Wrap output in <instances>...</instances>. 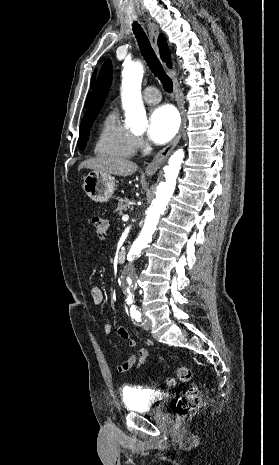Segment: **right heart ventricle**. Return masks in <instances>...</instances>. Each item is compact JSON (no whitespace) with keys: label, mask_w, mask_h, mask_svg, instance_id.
Here are the masks:
<instances>
[{"label":"right heart ventricle","mask_w":279,"mask_h":465,"mask_svg":"<svg viewBox=\"0 0 279 465\" xmlns=\"http://www.w3.org/2000/svg\"><path fill=\"white\" fill-rule=\"evenodd\" d=\"M135 152L134 135L124 125L116 110L105 117L95 145V153L101 157L129 158Z\"/></svg>","instance_id":"e07e8e85"}]
</instances>
